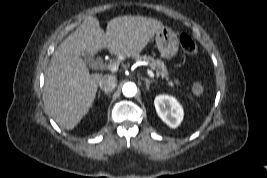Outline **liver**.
I'll return each mask as SVG.
<instances>
[{"label":"liver","instance_id":"6515ba94","mask_svg":"<svg viewBox=\"0 0 267 178\" xmlns=\"http://www.w3.org/2000/svg\"><path fill=\"white\" fill-rule=\"evenodd\" d=\"M164 28L162 22L139 16L111 19L104 32L89 16L54 52L45 77L44 103L47 113L64 129L72 130L92 107L102 74L89 73L85 54L108 48L113 55L139 54Z\"/></svg>","mask_w":267,"mask_h":178}]
</instances>
